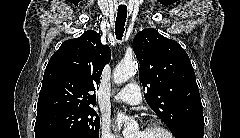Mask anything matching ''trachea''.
I'll return each instance as SVG.
<instances>
[{
  "mask_svg": "<svg viewBox=\"0 0 240 138\" xmlns=\"http://www.w3.org/2000/svg\"><path fill=\"white\" fill-rule=\"evenodd\" d=\"M127 18V7L125 5H120L118 7L116 22H115V34L118 40H122L125 31V22Z\"/></svg>",
  "mask_w": 240,
  "mask_h": 138,
  "instance_id": "1",
  "label": "trachea"
}]
</instances>
